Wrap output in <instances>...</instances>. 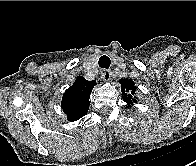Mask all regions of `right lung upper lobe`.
Masks as SVG:
<instances>
[{"label": "right lung upper lobe", "instance_id": "cb5924a9", "mask_svg": "<svg viewBox=\"0 0 196 166\" xmlns=\"http://www.w3.org/2000/svg\"><path fill=\"white\" fill-rule=\"evenodd\" d=\"M95 85L96 81H87L78 76L74 84L66 90L61 108L69 121H76L88 112L90 93Z\"/></svg>", "mask_w": 196, "mask_h": 166}]
</instances>
